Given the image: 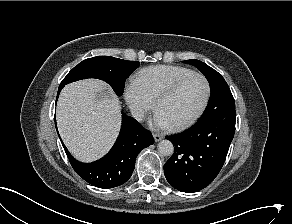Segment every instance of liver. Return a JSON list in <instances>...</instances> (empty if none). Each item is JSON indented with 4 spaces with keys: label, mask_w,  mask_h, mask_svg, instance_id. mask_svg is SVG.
Segmentation results:
<instances>
[{
    "label": "liver",
    "mask_w": 292,
    "mask_h": 224,
    "mask_svg": "<svg viewBox=\"0 0 292 224\" xmlns=\"http://www.w3.org/2000/svg\"><path fill=\"white\" fill-rule=\"evenodd\" d=\"M119 108L118 97L100 80H81L63 88L57 103V126L76 159L92 162L111 148L120 128Z\"/></svg>",
    "instance_id": "6515ba94"
}]
</instances>
